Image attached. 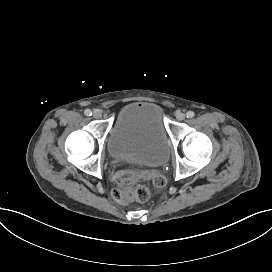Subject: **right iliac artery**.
I'll list each match as a JSON object with an SVG mask.
<instances>
[{"label":"right iliac artery","mask_w":272,"mask_h":272,"mask_svg":"<svg viewBox=\"0 0 272 272\" xmlns=\"http://www.w3.org/2000/svg\"><path fill=\"white\" fill-rule=\"evenodd\" d=\"M84 114H85L86 116H91V115H92V112H91V110L86 109V110L84 111Z\"/></svg>","instance_id":"right-iliac-artery-1"}]
</instances>
